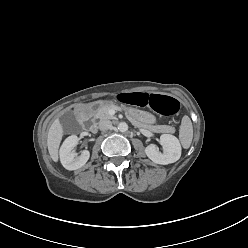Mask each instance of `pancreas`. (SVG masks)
<instances>
[{
    "label": "pancreas",
    "instance_id": "1",
    "mask_svg": "<svg viewBox=\"0 0 248 248\" xmlns=\"http://www.w3.org/2000/svg\"><path fill=\"white\" fill-rule=\"evenodd\" d=\"M110 109L121 110L122 108L119 107L118 105L112 103V102L105 103V104H103L102 106H100L98 108L97 113H96V118H99L101 120H103V119H114V117L109 114ZM126 113L129 115V118H130L131 122L137 127H143V128L149 129V130H151L153 132L173 133L175 131L174 127L167 126V125L153 126V125H149V124H144L142 122L137 121L127 111H126Z\"/></svg>",
    "mask_w": 248,
    "mask_h": 248
}]
</instances>
